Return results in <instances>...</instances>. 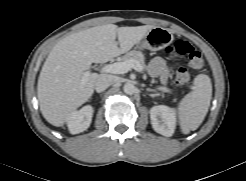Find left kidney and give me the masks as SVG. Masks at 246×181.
<instances>
[{"mask_svg": "<svg viewBox=\"0 0 246 181\" xmlns=\"http://www.w3.org/2000/svg\"><path fill=\"white\" fill-rule=\"evenodd\" d=\"M150 119L153 129L166 137L173 135L176 127L174 109L165 105L154 106L150 110Z\"/></svg>", "mask_w": 246, "mask_h": 181, "instance_id": "obj_1", "label": "left kidney"}]
</instances>
